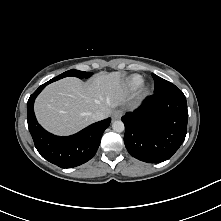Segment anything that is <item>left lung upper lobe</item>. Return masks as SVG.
<instances>
[{"mask_svg": "<svg viewBox=\"0 0 221 221\" xmlns=\"http://www.w3.org/2000/svg\"><path fill=\"white\" fill-rule=\"evenodd\" d=\"M152 77L155 81V88H154V93H163V92H168V91H175L179 90L174 84L171 82L155 75L152 73Z\"/></svg>", "mask_w": 221, "mask_h": 221, "instance_id": "1", "label": "left lung upper lobe"}]
</instances>
